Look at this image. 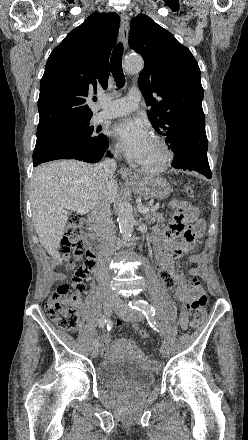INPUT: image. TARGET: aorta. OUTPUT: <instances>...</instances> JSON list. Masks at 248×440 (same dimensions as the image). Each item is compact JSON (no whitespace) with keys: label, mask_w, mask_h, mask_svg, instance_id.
<instances>
[{"label":"aorta","mask_w":248,"mask_h":440,"mask_svg":"<svg viewBox=\"0 0 248 440\" xmlns=\"http://www.w3.org/2000/svg\"><path fill=\"white\" fill-rule=\"evenodd\" d=\"M143 67L144 62L138 56H129L124 62V69L128 74H137ZM117 214L120 233L124 243H126L130 240L135 225L132 205L127 200H121Z\"/></svg>","instance_id":"762f6f07"}]
</instances>
